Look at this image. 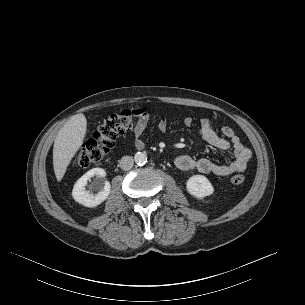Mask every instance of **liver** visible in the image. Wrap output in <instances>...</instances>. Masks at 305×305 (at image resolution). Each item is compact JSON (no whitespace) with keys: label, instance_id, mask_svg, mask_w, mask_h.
<instances>
[{"label":"liver","instance_id":"1","mask_svg":"<svg viewBox=\"0 0 305 305\" xmlns=\"http://www.w3.org/2000/svg\"><path fill=\"white\" fill-rule=\"evenodd\" d=\"M87 120L84 114L72 116L58 132L53 145V168L58 182L64 177L72 158L85 138Z\"/></svg>","mask_w":305,"mask_h":305}]
</instances>
